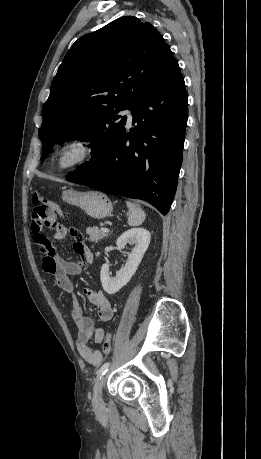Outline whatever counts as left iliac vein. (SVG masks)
Instances as JSON below:
<instances>
[{"mask_svg":"<svg viewBox=\"0 0 261 459\" xmlns=\"http://www.w3.org/2000/svg\"><path fill=\"white\" fill-rule=\"evenodd\" d=\"M105 378L101 377L94 386V396H93V405L96 410H99L103 407V399H102V389L104 384Z\"/></svg>","mask_w":261,"mask_h":459,"instance_id":"left-iliac-vein-1","label":"left iliac vein"}]
</instances>
